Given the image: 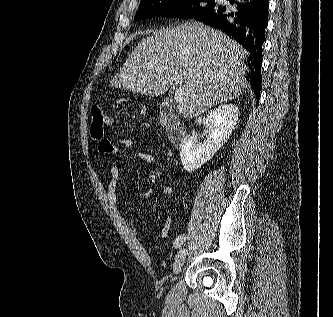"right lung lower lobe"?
Listing matches in <instances>:
<instances>
[{
  "label": "right lung lower lobe",
  "instance_id": "98d812e1",
  "mask_svg": "<svg viewBox=\"0 0 333 317\" xmlns=\"http://www.w3.org/2000/svg\"><path fill=\"white\" fill-rule=\"evenodd\" d=\"M234 8L227 9L213 4L194 18L206 25L227 33L252 55L253 69L247 76L257 102L261 89L262 45L268 25V0H229Z\"/></svg>",
  "mask_w": 333,
  "mask_h": 317
}]
</instances>
